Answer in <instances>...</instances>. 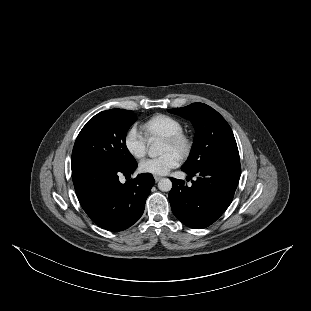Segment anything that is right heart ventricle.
Returning <instances> with one entry per match:
<instances>
[{
	"mask_svg": "<svg viewBox=\"0 0 311 311\" xmlns=\"http://www.w3.org/2000/svg\"><path fill=\"white\" fill-rule=\"evenodd\" d=\"M142 129L149 139L167 138L185 129L183 121L168 114H156L142 123Z\"/></svg>",
	"mask_w": 311,
	"mask_h": 311,
	"instance_id": "right-heart-ventricle-1",
	"label": "right heart ventricle"
}]
</instances>
